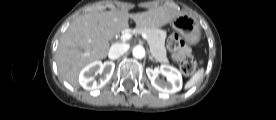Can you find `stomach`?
<instances>
[{
    "mask_svg": "<svg viewBox=\"0 0 276 120\" xmlns=\"http://www.w3.org/2000/svg\"><path fill=\"white\" fill-rule=\"evenodd\" d=\"M173 28L181 35L196 42L200 35V28L196 20L189 14L182 13L171 22Z\"/></svg>",
    "mask_w": 276,
    "mask_h": 120,
    "instance_id": "1",
    "label": "stomach"
}]
</instances>
